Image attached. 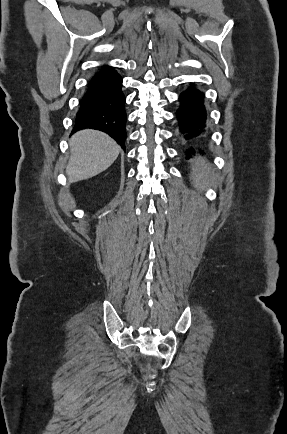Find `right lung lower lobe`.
Returning <instances> with one entry per match:
<instances>
[{
    "mask_svg": "<svg viewBox=\"0 0 287 434\" xmlns=\"http://www.w3.org/2000/svg\"><path fill=\"white\" fill-rule=\"evenodd\" d=\"M122 77L111 66H103L90 80L80 100L74 132L90 128L109 134L125 148L127 115Z\"/></svg>",
    "mask_w": 287,
    "mask_h": 434,
    "instance_id": "98d812e1",
    "label": "right lung lower lobe"
}]
</instances>
